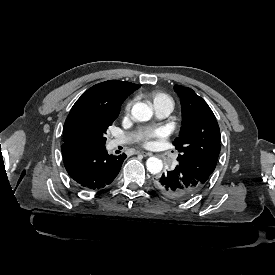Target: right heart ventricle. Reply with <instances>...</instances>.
Segmentation results:
<instances>
[{
	"label": "right heart ventricle",
	"mask_w": 275,
	"mask_h": 275,
	"mask_svg": "<svg viewBox=\"0 0 275 275\" xmlns=\"http://www.w3.org/2000/svg\"><path fill=\"white\" fill-rule=\"evenodd\" d=\"M154 101L158 106H164V105H170L172 107L173 105V101L171 100V98H169L168 96L164 95V94H156L154 96Z\"/></svg>",
	"instance_id": "obj_1"
}]
</instances>
